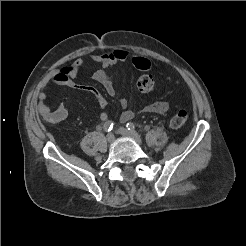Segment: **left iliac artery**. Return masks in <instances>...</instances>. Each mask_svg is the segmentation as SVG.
Masks as SVG:
<instances>
[{"instance_id":"obj_1","label":"left iliac artery","mask_w":246,"mask_h":246,"mask_svg":"<svg viewBox=\"0 0 246 246\" xmlns=\"http://www.w3.org/2000/svg\"><path fill=\"white\" fill-rule=\"evenodd\" d=\"M126 127L128 130L135 132V125L132 122L127 123Z\"/></svg>"}]
</instances>
